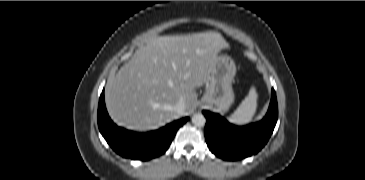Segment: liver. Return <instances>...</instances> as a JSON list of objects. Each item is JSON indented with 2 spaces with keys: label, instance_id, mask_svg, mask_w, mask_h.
I'll return each mask as SVG.
<instances>
[{
  "label": "liver",
  "instance_id": "6515ba94",
  "mask_svg": "<svg viewBox=\"0 0 365 180\" xmlns=\"http://www.w3.org/2000/svg\"><path fill=\"white\" fill-rule=\"evenodd\" d=\"M227 48L215 31L149 39L109 80V115L118 125L145 131L190 114L197 104L195 89L208 81L218 53ZM181 99L180 115L174 107Z\"/></svg>",
  "mask_w": 365,
  "mask_h": 180
}]
</instances>
